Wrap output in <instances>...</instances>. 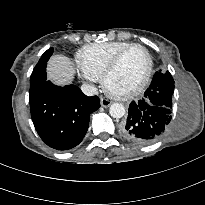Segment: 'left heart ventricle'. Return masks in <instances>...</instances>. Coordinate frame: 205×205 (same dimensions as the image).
Segmentation results:
<instances>
[{"label":"left heart ventricle","instance_id":"left-heart-ventricle-1","mask_svg":"<svg viewBox=\"0 0 205 205\" xmlns=\"http://www.w3.org/2000/svg\"><path fill=\"white\" fill-rule=\"evenodd\" d=\"M147 66L148 59L142 49L130 50L108 78V88L116 93H126L134 89L143 79Z\"/></svg>","mask_w":205,"mask_h":205}]
</instances>
